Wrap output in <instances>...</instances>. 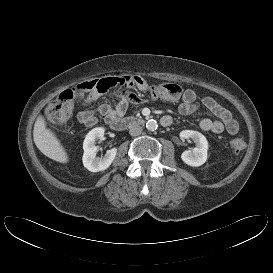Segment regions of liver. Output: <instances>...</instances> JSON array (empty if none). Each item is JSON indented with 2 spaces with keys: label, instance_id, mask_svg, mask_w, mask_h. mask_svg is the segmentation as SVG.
<instances>
[{
  "label": "liver",
  "instance_id": "obj_1",
  "mask_svg": "<svg viewBox=\"0 0 273 273\" xmlns=\"http://www.w3.org/2000/svg\"><path fill=\"white\" fill-rule=\"evenodd\" d=\"M33 139L37 148L48 158L60 163L69 161L68 155L57 136L47 128V123L39 115L34 124Z\"/></svg>",
  "mask_w": 273,
  "mask_h": 273
}]
</instances>
